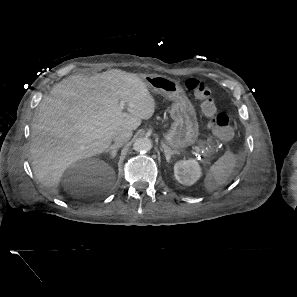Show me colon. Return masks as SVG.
I'll use <instances>...</instances> for the list:
<instances>
[{
  "instance_id": "obj_1",
  "label": "colon",
  "mask_w": 297,
  "mask_h": 297,
  "mask_svg": "<svg viewBox=\"0 0 297 297\" xmlns=\"http://www.w3.org/2000/svg\"><path fill=\"white\" fill-rule=\"evenodd\" d=\"M185 87L192 91L201 101L203 113L209 117L208 125L211 131L218 137L228 139L232 136L230 119L226 113L217 112L215 102L212 98L211 86L198 78H188Z\"/></svg>"
}]
</instances>
